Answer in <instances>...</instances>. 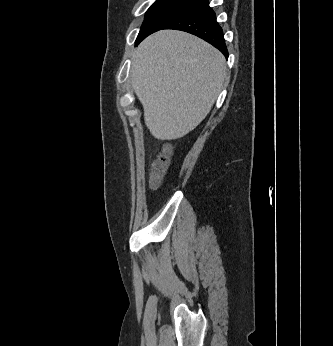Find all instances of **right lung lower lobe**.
Returning a JSON list of instances; mask_svg holds the SVG:
<instances>
[{
  "mask_svg": "<svg viewBox=\"0 0 333 346\" xmlns=\"http://www.w3.org/2000/svg\"><path fill=\"white\" fill-rule=\"evenodd\" d=\"M162 29H175L194 34L215 46L228 58L223 30L216 21L215 12L209 6L208 0H188Z\"/></svg>",
  "mask_w": 333,
  "mask_h": 346,
  "instance_id": "98d812e1",
  "label": "right lung lower lobe"
}]
</instances>
